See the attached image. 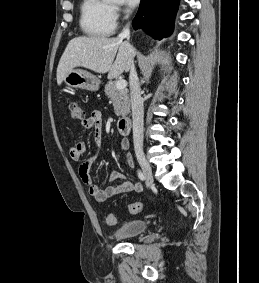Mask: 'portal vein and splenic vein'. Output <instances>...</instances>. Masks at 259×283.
Wrapping results in <instances>:
<instances>
[{"label": "portal vein and splenic vein", "mask_w": 259, "mask_h": 283, "mask_svg": "<svg viewBox=\"0 0 259 283\" xmlns=\"http://www.w3.org/2000/svg\"><path fill=\"white\" fill-rule=\"evenodd\" d=\"M126 86H127V82L125 81V80H118L117 82H116V87L118 88V89H124V88H126Z\"/></svg>", "instance_id": "portal-vein-and-splenic-vein-1"}]
</instances>
